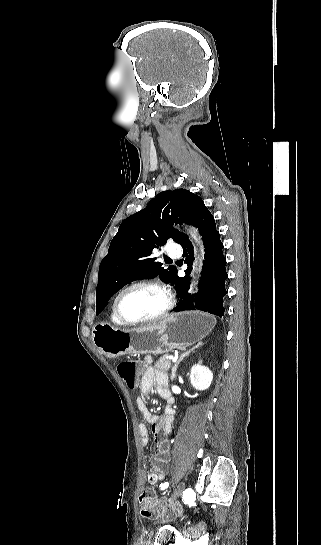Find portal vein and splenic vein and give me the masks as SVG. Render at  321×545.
<instances>
[{"instance_id":"18ae733b","label":"portal vein and splenic vein","mask_w":321,"mask_h":545,"mask_svg":"<svg viewBox=\"0 0 321 545\" xmlns=\"http://www.w3.org/2000/svg\"><path fill=\"white\" fill-rule=\"evenodd\" d=\"M174 359L173 355H169V360Z\"/></svg>"}]
</instances>
